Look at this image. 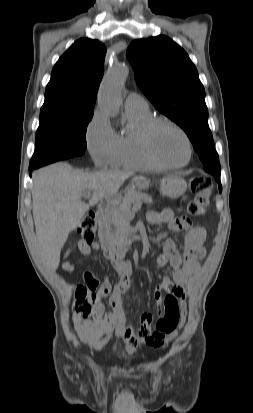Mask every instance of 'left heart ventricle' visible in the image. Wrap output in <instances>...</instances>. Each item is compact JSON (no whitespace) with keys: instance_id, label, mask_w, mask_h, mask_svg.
Wrapping results in <instances>:
<instances>
[{"instance_id":"left-heart-ventricle-1","label":"left heart ventricle","mask_w":253,"mask_h":413,"mask_svg":"<svg viewBox=\"0 0 253 413\" xmlns=\"http://www.w3.org/2000/svg\"><path fill=\"white\" fill-rule=\"evenodd\" d=\"M155 155L169 164H179L187 157V146L182 135L167 124L157 125L151 134Z\"/></svg>"}]
</instances>
